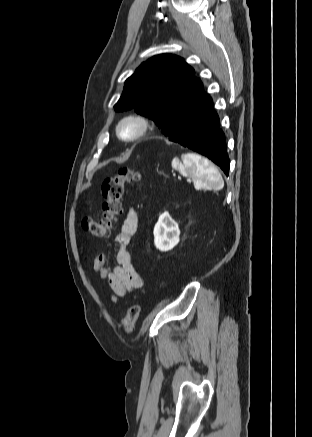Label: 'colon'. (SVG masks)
<instances>
[{
    "mask_svg": "<svg viewBox=\"0 0 312 437\" xmlns=\"http://www.w3.org/2000/svg\"><path fill=\"white\" fill-rule=\"evenodd\" d=\"M140 180V172L135 168L128 167L121 168L117 175L106 178L101 187L104 198L102 217L98 220L89 216L84 217L82 220L84 230L94 237H109L122 212V197L125 184ZM139 313L140 308L138 305H132L127 309L121 321L125 331L130 332L133 330Z\"/></svg>",
    "mask_w": 312,
    "mask_h": 437,
    "instance_id": "obj_1",
    "label": "colon"
}]
</instances>
